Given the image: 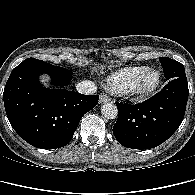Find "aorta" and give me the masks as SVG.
I'll return each mask as SVG.
<instances>
[{
  "instance_id": "obj_1",
  "label": "aorta",
  "mask_w": 195,
  "mask_h": 195,
  "mask_svg": "<svg viewBox=\"0 0 195 195\" xmlns=\"http://www.w3.org/2000/svg\"><path fill=\"white\" fill-rule=\"evenodd\" d=\"M101 113L107 119H115L118 116V109L113 103H105L101 108Z\"/></svg>"
}]
</instances>
